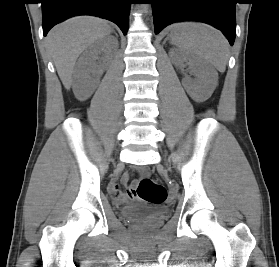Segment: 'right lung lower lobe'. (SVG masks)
<instances>
[{
    "label": "right lung lower lobe",
    "instance_id": "98d812e1",
    "mask_svg": "<svg viewBox=\"0 0 279 267\" xmlns=\"http://www.w3.org/2000/svg\"><path fill=\"white\" fill-rule=\"evenodd\" d=\"M131 0H43V35L57 23L77 15H93L117 24L126 34Z\"/></svg>",
    "mask_w": 279,
    "mask_h": 267
}]
</instances>
